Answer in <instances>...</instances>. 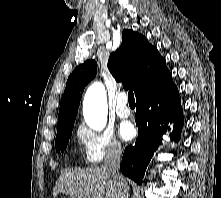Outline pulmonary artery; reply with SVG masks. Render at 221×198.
Wrapping results in <instances>:
<instances>
[{
  "label": "pulmonary artery",
  "mask_w": 221,
  "mask_h": 198,
  "mask_svg": "<svg viewBox=\"0 0 221 198\" xmlns=\"http://www.w3.org/2000/svg\"><path fill=\"white\" fill-rule=\"evenodd\" d=\"M116 113L120 118H127L131 115L128 98L125 93H121L117 99Z\"/></svg>",
  "instance_id": "e3ab8cb5"
}]
</instances>
